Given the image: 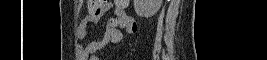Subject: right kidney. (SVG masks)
<instances>
[{
	"label": "right kidney",
	"instance_id": "right-kidney-1",
	"mask_svg": "<svg viewBox=\"0 0 267 60\" xmlns=\"http://www.w3.org/2000/svg\"><path fill=\"white\" fill-rule=\"evenodd\" d=\"M133 2L136 14L145 18L154 16L162 4V0H134Z\"/></svg>",
	"mask_w": 267,
	"mask_h": 60
}]
</instances>
